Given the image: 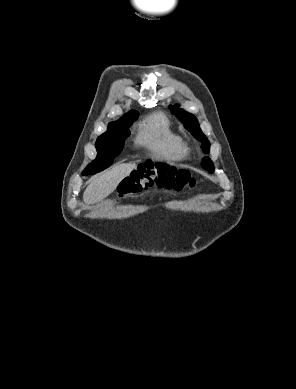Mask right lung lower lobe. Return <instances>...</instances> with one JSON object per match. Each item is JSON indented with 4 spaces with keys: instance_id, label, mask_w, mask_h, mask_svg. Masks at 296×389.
<instances>
[{
    "instance_id": "obj_1",
    "label": "right lung lower lobe",
    "mask_w": 296,
    "mask_h": 389,
    "mask_svg": "<svg viewBox=\"0 0 296 389\" xmlns=\"http://www.w3.org/2000/svg\"><path fill=\"white\" fill-rule=\"evenodd\" d=\"M95 173H96V171H90V170L85 169L82 174L88 175V174H95Z\"/></svg>"
}]
</instances>
